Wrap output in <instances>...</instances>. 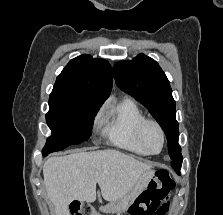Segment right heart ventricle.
Returning <instances> with one entry per match:
<instances>
[{"label": "right heart ventricle", "mask_w": 223, "mask_h": 215, "mask_svg": "<svg viewBox=\"0 0 223 215\" xmlns=\"http://www.w3.org/2000/svg\"><path fill=\"white\" fill-rule=\"evenodd\" d=\"M144 118L137 104L124 98L104 112L102 134L114 146L133 154L144 155L137 140V127Z\"/></svg>", "instance_id": "e07e8e85"}]
</instances>
